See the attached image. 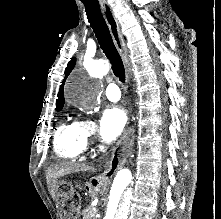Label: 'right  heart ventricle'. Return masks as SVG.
I'll use <instances>...</instances> for the list:
<instances>
[{
  "label": "right heart ventricle",
  "instance_id": "obj_1",
  "mask_svg": "<svg viewBox=\"0 0 221 219\" xmlns=\"http://www.w3.org/2000/svg\"><path fill=\"white\" fill-rule=\"evenodd\" d=\"M78 121L62 124L54 135V150L59 158L67 161L78 159L85 151Z\"/></svg>",
  "mask_w": 221,
  "mask_h": 219
}]
</instances>
